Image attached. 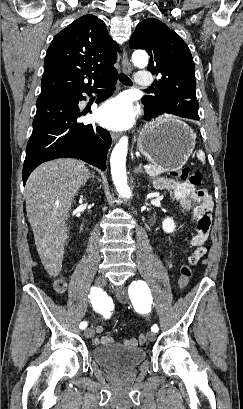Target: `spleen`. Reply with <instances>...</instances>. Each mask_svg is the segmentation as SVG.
I'll return each instance as SVG.
<instances>
[{
  "mask_svg": "<svg viewBox=\"0 0 243 409\" xmlns=\"http://www.w3.org/2000/svg\"><path fill=\"white\" fill-rule=\"evenodd\" d=\"M197 158L204 164L205 163V153L199 150L197 153Z\"/></svg>",
  "mask_w": 243,
  "mask_h": 409,
  "instance_id": "3e777b00",
  "label": "spleen"
}]
</instances>
